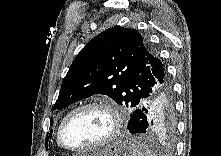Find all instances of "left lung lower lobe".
Masks as SVG:
<instances>
[{"label": "left lung lower lobe", "instance_id": "obj_1", "mask_svg": "<svg viewBox=\"0 0 221 156\" xmlns=\"http://www.w3.org/2000/svg\"><path fill=\"white\" fill-rule=\"evenodd\" d=\"M151 89L150 95L133 110L127 128L132 134L172 136L176 115L172 84L166 71L154 76Z\"/></svg>", "mask_w": 221, "mask_h": 156}]
</instances>
